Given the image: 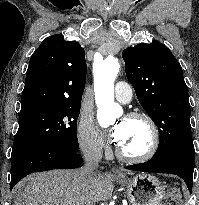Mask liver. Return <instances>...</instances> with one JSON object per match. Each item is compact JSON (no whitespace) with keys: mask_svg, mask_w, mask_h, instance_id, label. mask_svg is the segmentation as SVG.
Returning <instances> with one entry per match:
<instances>
[{"mask_svg":"<svg viewBox=\"0 0 199 205\" xmlns=\"http://www.w3.org/2000/svg\"><path fill=\"white\" fill-rule=\"evenodd\" d=\"M27 181L19 205H93L109 200L114 189L110 177L98 174L96 183L90 185L80 177V170L37 173Z\"/></svg>","mask_w":199,"mask_h":205,"instance_id":"6515ba94","label":"liver"}]
</instances>
